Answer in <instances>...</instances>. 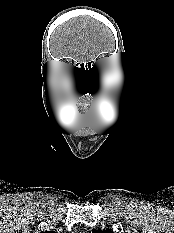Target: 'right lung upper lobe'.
Masks as SVG:
<instances>
[{
  "label": "right lung upper lobe",
  "instance_id": "right-lung-upper-lobe-1",
  "mask_svg": "<svg viewBox=\"0 0 174 233\" xmlns=\"http://www.w3.org/2000/svg\"><path fill=\"white\" fill-rule=\"evenodd\" d=\"M45 233H55V232H51V231H50V232H45Z\"/></svg>",
  "mask_w": 174,
  "mask_h": 233
}]
</instances>
